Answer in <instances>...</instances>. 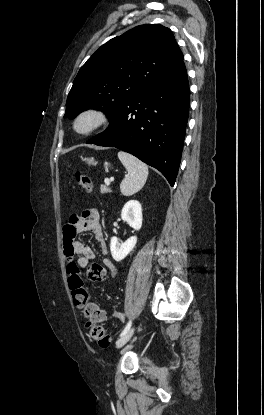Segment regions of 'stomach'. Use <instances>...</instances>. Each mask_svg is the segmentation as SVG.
<instances>
[{"mask_svg":"<svg viewBox=\"0 0 264 415\" xmlns=\"http://www.w3.org/2000/svg\"><path fill=\"white\" fill-rule=\"evenodd\" d=\"M88 165H97V161L94 160V158H87L85 159ZM105 169H108L110 167V164L108 162L104 163Z\"/></svg>","mask_w":264,"mask_h":415,"instance_id":"obj_1","label":"stomach"}]
</instances>
